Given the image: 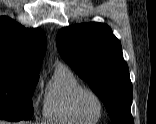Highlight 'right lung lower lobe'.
<instances>
[{
    "instance_id": "1",
    "label": "right lung lower lobe",
    "mask_w": 156,
    "mask_h": 124,
    "mask_svg": "<svg viewBox=\"0 0 156 124\" xmlns=\"http://www.w3.org/2000/svg\"><path fill=\"white\" fill-rule=\"evenodd\" d=\"M6 120H8V121H20V119H6Z\"/></svg>"
}]
</instances>
